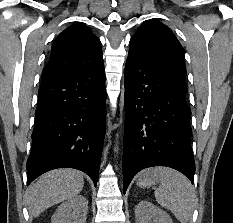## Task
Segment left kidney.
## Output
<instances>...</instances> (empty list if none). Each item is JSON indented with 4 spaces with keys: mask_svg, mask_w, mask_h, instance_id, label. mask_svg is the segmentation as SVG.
<instances>
[{
    "mask_svg": "<svg viewBox=\"0 0 233 223\" xmlns=\"http://www.w3.org/2000/svg\"><path fill=\"white\" fill-rule=\"evenodd\" d=\"M136 223H173L172 217L147 199H141L135 205Z\"/></svg>",
    "mask_w": 233,
    "mask_h": 223,
    "instance_id": "1",
    "label": "left kidney"
}]
</instances>
